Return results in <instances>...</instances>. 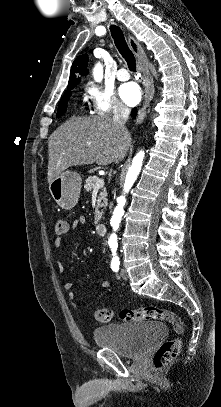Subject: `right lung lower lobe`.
<instances>
[{"mask_svg":"<svg viewBox=\"0 0 221 407\" xmlns=\"http://www.w3.org/2000/svg\"><path fill=\"white\" fill-rule=\"evenodd\" d=\"M136 114H137V110H136V108H133V109H132V112H131V115H132L133 117H135Z\"/></svg>","mask_w":221,"mask_h":407,"instance_id":"right-lung-lower-lobe-1","label":"right lung lower lobe"}]
</instances>
